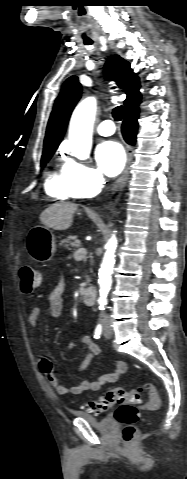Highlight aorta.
<instances>
[{
  "instance_id": "aorta-1",
  "label": "aorta",
  "mask_w": 187,
  "mask_h": 479,
  "mask_svg": "<svg viewBox=\"0 0 187 479\" xmlns=\"http://www.w3.org/2000/svg\"><path fill=\"white\" fill-rule=\"evenodd\" d=\"M96 99L88 97L75 108L69 126V146L72 154L80 160L89 157L92 146V130L96 113ZM117 239L115 234L106 244V252L99 269V298L100 309L107 304V296L112 285V271L115 264V250Z\"/></svg>"
}]
</instances>
